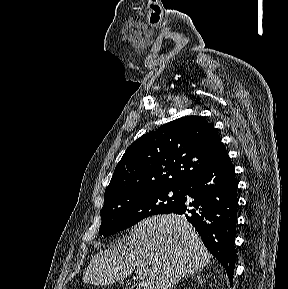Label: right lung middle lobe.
Returning a JSON list of instances; mask_svg holds the SVG:
<instances>
[{
	"instance_id": "dd1d6c3e",
	"label": "right lung middle lobe",
	"mask_w": 288,
	"mask_h": 289,
	"mask_svg": "<svg viewBox=\"0 0 288 289\" xmlns=\"http://www.w3.org/2000/svg\"><path fill=\"white\" fill-rule=\"evenodd\" d=\"M182 200L180 187L152 188L125 192L104 199L100 235L110 236L142 219L167 214Z\"/></svg>"
}]
</instances>
